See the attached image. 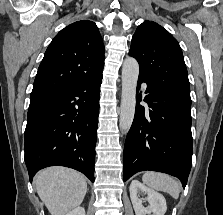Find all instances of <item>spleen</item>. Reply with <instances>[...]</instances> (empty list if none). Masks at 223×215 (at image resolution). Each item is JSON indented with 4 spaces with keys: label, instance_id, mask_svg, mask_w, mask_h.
<instances>
[{
    "label": "spleen",
    "instance_id": "3e777b00",
    "mask_svg": "<svg viewBox=\"0 0 223 215\" xmlns=\"http://www.w3.org/2000/svg\"><path fill=\"white\" fill-rule=\"evenodd\" d=\"M142 181L158 191H167L172 197H179L181 183L176 181L174 177L166 175V173H156V171H146L142 177Z\"/></svg>",
    "mask_w": 223,
    "mask_h": 215
}]
</instances>
